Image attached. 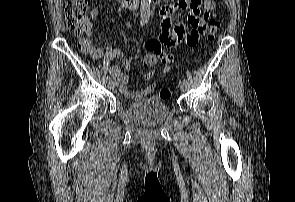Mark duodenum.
<instances>
[{
	"instance_id": "duodenum-1",
	"label": "duodenum",
	"mask_w": 295,
	"mask_h": 202,
	"mask_svg": "<svg viewBox=\"0 0 295 202\" xmlns=\"http://www.w3.org/2000/svg\"><path fill=\"white\" fill-rule=\"evenodd\" d=\"M118 1L128 6L129 8L137 9L142 4L143 0H118Z\"/></svg>"
}]
</instances>
